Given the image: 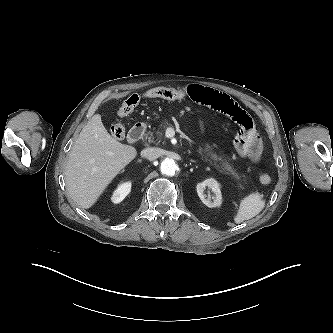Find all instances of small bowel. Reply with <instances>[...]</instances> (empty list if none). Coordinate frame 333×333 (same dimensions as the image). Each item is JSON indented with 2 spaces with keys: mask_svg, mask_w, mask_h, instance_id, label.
<instances>
[{
  "mask_svg": "<svg viewBox=\"0 0 333 333\" xmlns=\"http://www.w3.org/2000/svg\"><path fill=\"white\" fill-rule=\"evenodd\" d=\"M184 90L191 100L225 114L238 124L240 130L234 140V147L240 156L252 161L260 158L261 138L250 115L236 101L226 93L198 84L188 85Z\"/></svg>",
  "mask_w": 333,
  "mask_h": 333,
  "instance_id": "obj_1",
  "label": "small bowel"
}]
</instances>
